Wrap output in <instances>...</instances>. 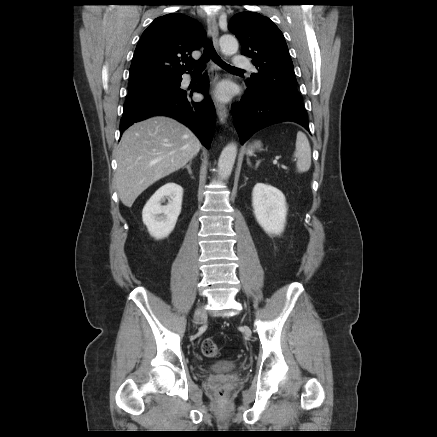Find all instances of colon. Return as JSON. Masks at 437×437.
Returning <instances> with one entry per match:
<instances>
[{"mask_svg": "<svg viewBox=\"0 0 437 437\" xmlns=\"http://www.w3.org/2000/svg\"><path fill=\"white\" fill-rule=\"evenodd\" d=\"M201 351L202 354L207 358H216L219 354V348L217 344L212 339L209 338L205 339L202 342ZM217 392L220 397H223L225 394L223 387H219Z\"/></svg>", "mask_w": 437, "mask_h": 437, "instance_id": "obj_1", "label": "colon"}]
</instances>
